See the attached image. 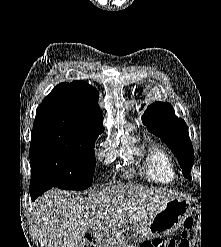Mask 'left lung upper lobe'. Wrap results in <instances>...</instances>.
Returning a JSON list of instances; mask_svg holds the SVG:
<instances>
[{
	"label": "left lung upper lobe",
	"mask_w": 221,
	"mask_h": 247,
	"mask_svg": "<svg viewBox=\"0 0 221 247\" xmlns=\"http://www.w3.org/2000/svg\"><path fill=\"white\" fill-rule=\"evenodd\" d=\"M142 119L149 132L160 137L176 154L182 173L191 180L190 172L194 163V154L185 121L176 117L172 105L168 102L150 104Z\"/></svg>",
	"instance_id": "1"
}]
</instances>
